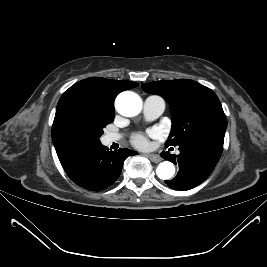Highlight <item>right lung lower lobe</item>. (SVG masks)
<instances>
[{
    "label": "right lung lower lobe",
    "mask_w": 267,
    "mask_h": 267,
    "mask_svg": "<svg viewBox=\"0 0 267 267\" xmlns=\"http://www.w3.org/2000/svg\"><path fill=\"white\" fill-rule=\"evenodd\" d=\"M136 154L125 148L109 151L100 142L68 151L58 157L75 184L90 191H101L118 179L124 160Z\"/></svg>",
    "instance_id": "obj_1"
}]
</instances>
